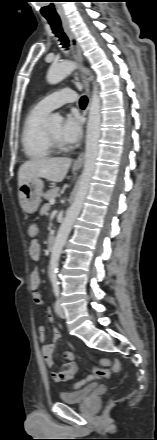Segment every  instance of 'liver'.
I'll list each match as a JSON object with an SVG mask.
<instances>
[{"label": "liver", "instance_id": "1", "mask_svg": "<svg viewBox=\"0 0 157 440\" xmlns=\"http://www.w3.org/2000/svg\"><path fill=\"white\" fill-rule=\"evenodd\" d=\"M72 163L70 158L33 159L21 165L18 172V186L33 178H45L51 182H61Z\"/></svg>", "mask_w": 157, "mask_h": 440}]
</instances>
